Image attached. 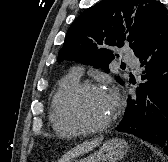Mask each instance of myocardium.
Masks as SVG:
<instances>
[{
  "instance_id": "obj_1",
  "label": "myocardium",
  "mask_w": 168,
  "mask_h": 162,
  "mask_svg": "<svg viewBox=\"0 0 168 162\" xmlns=\"http://www.w3.org/2000/svg\"><path fill=\"white\" fill-rule=\"evenodd\" d=\"M85 91H97L105 93V90L96 84L83 82L77 83L71 87L62 97L60 101L59 111L62 118L70 126L78 129L80 132H101L107 130L114 122L116 118V107H114L112 115L102 124L98 125H89L84 123L72 110L73 100L81 93Z\"/></svg>"
}]
</instances>
